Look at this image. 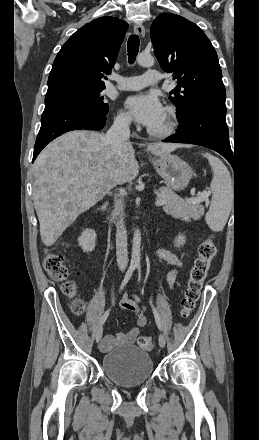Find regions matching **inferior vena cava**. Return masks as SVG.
<instances>
[{"mask_svg":"<svg viewBox=\"0 0 259 440\" xmlns=\"http://www.w3.org/2000/svg\"><path fill=\"white\" fill-rule=\"evenodd\" d=\"M130 120L116 119L110 129L107 131L105 138L116 150H119L124 145L129 143L130 137ZM123 202L121 199H115V213L122 215ZM116 256L117 265L120 270H124L128 265V251H127V231L121 218L117 222L116 229Z\"/></svg>","mask_w":259,"mask_h":440,"instance_id":"602c4592","label":"inferior vena cava"}]
</instances>
